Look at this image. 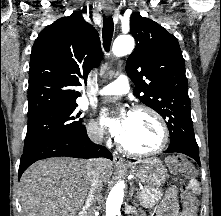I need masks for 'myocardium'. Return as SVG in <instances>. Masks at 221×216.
<instances>
[{
  "mask_svg": "<svg viewBox=\"0 0 221 216\" xmlns=\"http://www.w3.org/2000/svg\"><path fill=\"white\" fill-rule=\"evenodd\" d=\"M131 112L132 113L142 112V113H146L152 116L160 126L161 140L155 148L148 150V151H138V150L130 149L126 145H124V143L121 140H118L117 142L118 148L121 151H123L125 154H128L130 156H135V157H147V156H152L161 152L166 147L169 141V128H168L166 121L162 117V115L157 110L147 105L135 106Z\"/></svg>",
  "mask_w": 221,
  "mask_h": 216,
  "instance_id": "f54148a6",
  "label": "myocardium"
}]
</instances>
